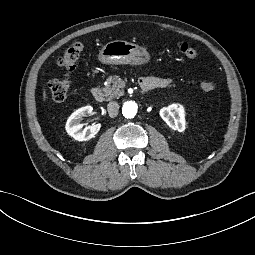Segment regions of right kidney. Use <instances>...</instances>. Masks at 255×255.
<instances>
[{"label": "right kidney", "instance_id": "1", "mask_svg": "<svg viewBox=\"0 0 255 255\" xmlns=\"http://www.w3.org/2000/svg\"><path fill=\"white\" fill-rule=\"evenodd\" d=\"M92 112L93 107L86 106L72 113L66 123L67 134L76 141H86L93 138L98 133L100 125L85 127L84 124L80 123L83 117L90 116Z\"/></svg>", "mask_w": 255, "mask_h": 255}]
</instances>
